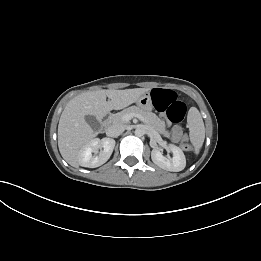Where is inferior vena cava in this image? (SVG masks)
I'll return each mask as SVG.
<instances>
[{
	"label": "inferior vena cava",
	"mask_w": 261,
	"mask_h": 261,
	"mask_svg": "<svg viewBox=\"0 0 261 261\" xmlns=\"http://www.w3.org/2000/svg\"><path fill=\"white\" fill-rule=\"evenodd\" d=\"M126 127L123 124H112L106 130V135L109 137H118L125 131Z\"/></svg>",
	"instance_id": "inferior-vena-cava-1"
}]
</instances>
